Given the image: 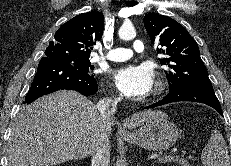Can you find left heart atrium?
Here are the masks:
<instances>
[{
	"instance_id": "1",
	"label": "left heart atrium",
	"mask_w": 231,
	"mask_h": 166,
	"mask_svg": "<svg viewBox=\"0 0 231 166\" xmlns=\"http://www.w3.org/2000/svg\"><path fill=\"white\" fill-rule=\"evenodd\" d=\"M111 78L116 87L128 97L145 96L151 92L154 85V73L145 64L114 70Z\"/></svg>"
}]
</instances>
